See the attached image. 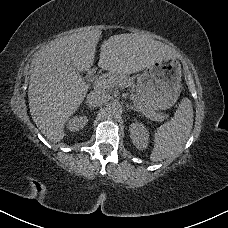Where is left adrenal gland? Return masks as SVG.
Segmentation results:
<instances>
[{
    "instance_id": "obj_1",
    "label": "left adrenal gland",
    "mask_w": 228,
    "mask_h": 228,
    "mask_svg": "<svg viewBox=\"0 0 228 228\" xmlns=\"http://www.w3.org/2000/svg\"><path fill=\"white\" fill-rule=\"evenodd\" d=\"M126 109H127L128 111H130V110H132V111H137L136 108H134L133 106H128V105H126Z\"/></svg>"
}]
</instances>
